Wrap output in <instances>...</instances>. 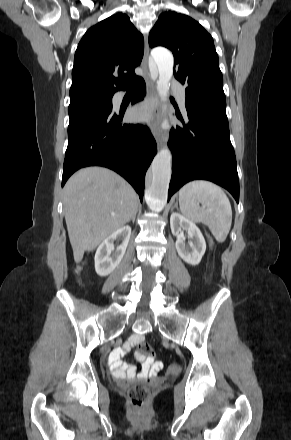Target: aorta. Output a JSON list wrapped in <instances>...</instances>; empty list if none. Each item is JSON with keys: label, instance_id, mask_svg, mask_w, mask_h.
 <instances>
[{"label": "aorta", "instance_id": "obj_1", "mask_svg": "<svg viewBox=\"0 0 291 440\" xmlns=\"http://www.w3.org/2000/svg\"><path fill=\"white\" fill-rule=\"evenodd\" d=\"M157 65L159 80L157 91L163 102L169 97L170 80L173 75L174 59L171 52L164 48L154 49L151 53ZM164 111L166 106H164ZM162 128L169 132L171 125L166 118L161 124ZM168 140V136L165 139ZM172 154L167 146L160 150L155 156L150 171V181L146 190V202L153 211H161L167 202L168 188L171 178Z\"/></svg>", "mask_w": 291, "mask_h": 440}]
</instances>
